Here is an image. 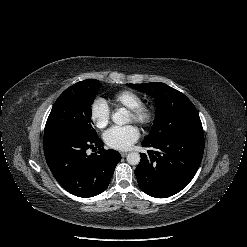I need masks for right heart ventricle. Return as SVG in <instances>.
Wrapping results in <instances>:
<instances>
[{
    "mask_svg": "<svg viewBox=\"0 0 247 247\" xmlns=\"http://www.w3.org/2000/svg\"><path fill=\"white\" fill-rule=\"evenodd\" d=\"M111 101L116 106H123L130 109L142 103V98L136 92L125 89L115 93Z\"/></svg>",
    "mask_w": 247,
    "mask_h": 247,
    "instance_id": "obj_1",
    "label": "right heart ventricle"
}]
</instances>
